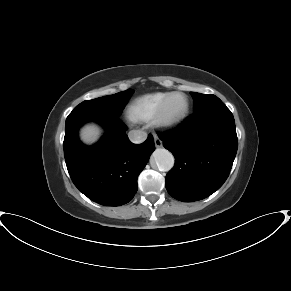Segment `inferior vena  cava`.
<instances>
[{
  "instance_id": "1",
  "label": "inferior vena cava",
  "mask_w": 291,
  "mask_h": 291,
  "mask_svg": "<svg viewBox=\"0 0 291 291\" xmlns=\"http://www.w3.org/2000/svg\"><path fill=\"white\" fill-rule=\"evenodd\" d=\"M128 137L132 143L139 144L146 140L147 133L143 130H131Z\"/></svg>"
}]
</instances>
